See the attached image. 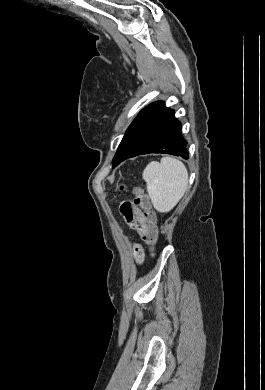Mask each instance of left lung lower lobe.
<instances>
[{"instance_id": "0a47b994", "label": "left lung lower lobe", "mask_w": 265, "mask_h": 390, "mask_svg": "<svg viewBox=\"0 0 265 390\" xmlns=\"http://www.w3.org/2000/svg\"><path fill=\"white\" fill-rule=\"evenodd\" d=\"M187 142L181 135V123L174 111L162 101L153 102L138 114L131 134L114 167L138 155L162 153L189 158Z\"/></svg>"}]
</instances>
